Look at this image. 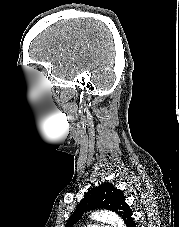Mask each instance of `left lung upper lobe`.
Masks as SVG:
<instances>
[{"label":"left lung upper lobe","instance_id":"left-lung-upper-lobe-1","mask_svg":"<svg viewBox=\"0 0 179 227\" xmlns=\"http://www.w3.org/2000/svg\"><path fill=\"white\" fill-rule=\"evenodd\" d=\"M97 208L116 212L123 219L127 227L135 225L132 211L125 202L123 192L113 187L110 183H104L85 194L84 199L78 204L65 227H72L79 221L85 211Z\"/></svg>","mask_w":179,"mask_h":227}]
</instances>
